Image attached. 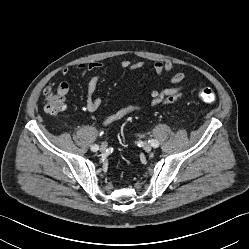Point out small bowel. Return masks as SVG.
I'll return each instance as SVG.
<instances>
[{"label": "small bowel", "instance_id": "small-bowel-1", "mask_svg": "<svg viewBox=\"0 0 249 249\" xmlns=\"http://www.w3.org/2000/svg\"><path fill=\"white\" fill-rule=\"evenodd\" d=\"M118 65L124 69L135 71L142 69L146 63L142 60L131 62L130 60L124 59L121 60ZM104 66V62L100 60H94L87 63L79 64L75 67V71L81 75L85 76L91 72L97 71ZM154 73L161 77L164 76L168 83L171 85L167 88L154 87L151 90V101L150 105L152 107H163L171 105L178 100H180L185 95V80L186 73L183 70L175 71L174 64L167 60H156L153 63ZM64 75L70 73V69L65 67L62 69ZM102 77L100 75H94L90 78L86 87V98L84 109L89 112L97 111L102 104V100L96 95L98 86L100 85ZM70 91V85L67 81H62L57 87L58 95L64 97ZM142 110V106L139 104H128L125 105L115 112L107 115L102 124L108 126L116 121H119L133 113L139 112Z\"/></svg>", "mask_w": 249, "mask_h": 249}]
</instances>
